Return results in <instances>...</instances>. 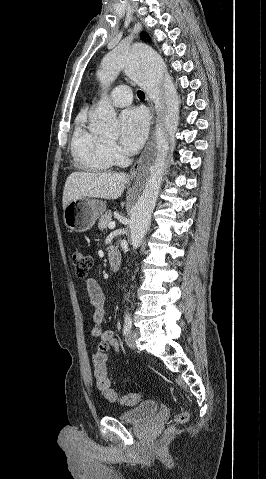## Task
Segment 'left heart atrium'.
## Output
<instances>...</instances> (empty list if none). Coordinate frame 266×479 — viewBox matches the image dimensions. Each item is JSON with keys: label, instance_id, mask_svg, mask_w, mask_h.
Returning <instances> with one entry per match:
<instances>
[{"label": "left heart atrium", "instance_id": "obj_1", "mask_svg": "<svg viewBox=\"0 0 266 479\" xmlns=\"http://www.w3.org/2000/svg\"><path fill=\"white\" fill-rule=\"evenodd\" d=\"M121 142L129 153L137 152L146 139L149 119L141 108L125 110L120 117Z\"/></svg>", "mask_w": 266, "mask_h": 479}]
</instances>
